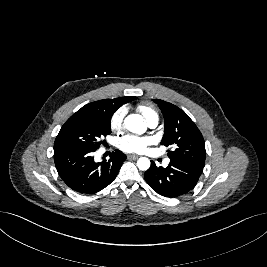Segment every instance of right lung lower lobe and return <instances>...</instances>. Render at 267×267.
<instances>
[{"label":"right lung lower lobe","mask_w":267,"mask_h":267,"mask_svg":"<svg viewBox=\"0 0 267 267\" xmlns=\"http://www.w3.org/2000/svg\"><path fill=\"white\" fill-rule=\"evenodd\" d=\"M88 149H54V162L59 176L74 191L93 194L116 178L126 155L112 152L108 161L96 163Z\"/></svg>","instance_id":"1"}]
</instances>
